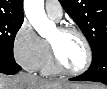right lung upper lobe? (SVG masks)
Instances as JSON below:
<instances>
[{
	"label": "right lung upper lobe",
	"instance_id": "cb5924a9",
	"mask_svg": "<svg viewBox=\"0 0 107 89\" xmlns=\"http://www.w3.org/2000/svg\"><path fill=\"white\" fill-rule=\"evenodd\" d=\"M0 16L24 19L23 0H0Z\"/></svg>",
	"mask_w": 107,
	"mask_h": 89
}]
</instances>
